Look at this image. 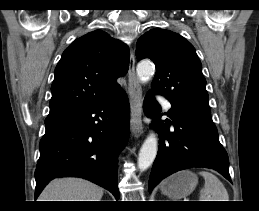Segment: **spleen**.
<instances>
[{
    "label": "spleen",
    "mask_w": 259,
    "mask_h": 211,
    "mask_svg": "<svg viewBox=\"0 0 259 211\" xmlns=\"http://www.w3.org/2000/svg\"><path fill=\"white\" fill-rule=\"evenodd\" d=\"M199 174L205 180L199 201H229L228 192L217 176L208 171H200Z\"/></svg>",
    "instance_id": "3e777b00"
}]
</instances>
